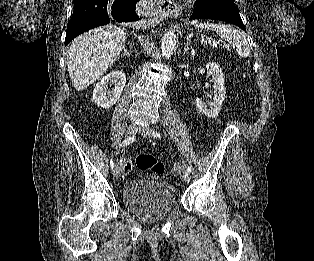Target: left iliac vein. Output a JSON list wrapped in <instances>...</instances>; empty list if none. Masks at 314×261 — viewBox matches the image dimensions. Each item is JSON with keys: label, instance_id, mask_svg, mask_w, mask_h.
Returning <instances> with one entry per match:
<instances>
[{"label": "left iliac vein", "instance_id": "4c4485c4", "mask_svg": "<svg viewBox=\"0 0 314 261\" xmlns=\"http://www.w3.org/2000/svg\"><path fill=\"white\" fill-rule=\"evenodd\" d=\"M139 132L141 133V135H143L144 137H150L151 136V129L148 127V126H144V127H141L139 129ZM182 177H183V180L186 182V183H189L190 182V174L188 171H184L183 174H182Z\"/></svg>", "mask_w": 314, "mask_h": 261}]
</instances>
